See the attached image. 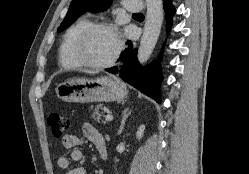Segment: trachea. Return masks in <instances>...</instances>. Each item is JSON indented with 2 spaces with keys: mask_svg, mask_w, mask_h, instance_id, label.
Masks as SVG:
<instances>
[{
  "mask_svg": "<svg viewBox=\"0 0 249 174\" xmlns=\"http://www.w3.org/2000/svg\"><path fill=\"white\" fill-rule=\"evenodd\" d=\"M136 15H142V13H138V14H136Z\"/></svg>",
  "mask_w": 249,
  "mask_h": 174,
  "instance_id": "obj_1",
  "label": "trachea"
}]
</instances>
